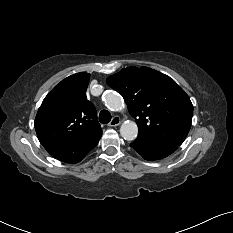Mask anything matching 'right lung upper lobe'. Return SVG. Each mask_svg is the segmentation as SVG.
Returning <instances> with one entry per match:
<instances>
[{"mask_svg": "<svg viewBox=\"0 0 233 233\" xmlns=\"http://www.w3.org/2000/svg\"><path fill=\"white\" fill-rule=\"evenodd\" d=\"M89 77L85 72L71 75L45 97L35 118L43 146L78 145L102 134L95 107L85 94Z\"/></svg>", "mask_w": 233, "mask_h": 233, "instance_id": "right-lung-upper-lobe-1", "label": "right lung upper lobe"}]
</instances>
